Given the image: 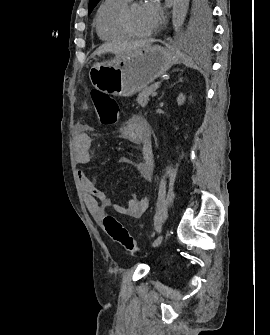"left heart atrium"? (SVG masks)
I'll return each mask as SVG.
<instances>
[{
    "label": "left heart atrium",
    "mask_w": 270,
    "mask_h": 335,
    "mask_svg": "<svg viewBox=\"0 0 270 335\" xmlns=\"http://www.w3.org/2000/svg\"><path fill=\"white\" fill-rule=\"evenodd\" d=\"M145 33H152L164 23V15L160 7L152 2L146 3L141 8Z\"/></svg>",
    "instance_id": "left-heart-atrium-1"
}]
</instances>
